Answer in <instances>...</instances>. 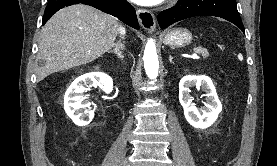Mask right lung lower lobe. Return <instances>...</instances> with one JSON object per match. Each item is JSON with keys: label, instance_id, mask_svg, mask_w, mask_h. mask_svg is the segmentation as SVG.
<instances>
[{"label": "right lung lower lobe", "instance_id": "1", "mask_svg": "<svg viewBox=\"0 0 277 166\" xmlns=\"http://www.w3.org/2000/svg\"><path fill=\"white\" fill-rule=\"evenodd\" d=\"M79 3L93 6L105 13L118 17L131 27L139 29L135 9L126 0H48L42 24L44 25L59 9Z\"/></svg>", "mask_w": 277, "mask_h": 166}]
</instances>
